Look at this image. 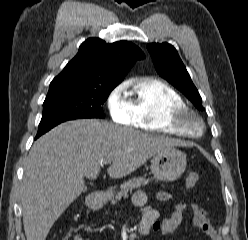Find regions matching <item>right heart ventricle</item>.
Wrapping results in <instances>:
<instances>
[{
    "label": "right heart ventricle",
    "mask_w": 248,
    "mask_h": 240,
    "mask_svg": "<svg viewBox=\"0 0 248 240\" xmlns=\"http://www.w3.org/2000/svg\"><path fill=\"white\" fill-rule=\"evenodd\" d=\"M130 105L134 116L133 126L145 131L180 134L168 125L169 109L184 105L181 95L167 83L154 78L135 83Z\"/></svg>",
    "instance_id": "right-heart-ventricle-1"
}]
</instances>
